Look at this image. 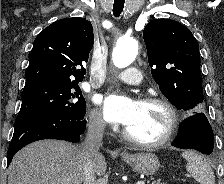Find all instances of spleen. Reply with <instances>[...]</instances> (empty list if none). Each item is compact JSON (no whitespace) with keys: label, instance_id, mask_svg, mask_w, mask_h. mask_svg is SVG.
<instances>
[{"label":"spleen","instance_id":"3e777b00","mask_svg":"<svg viewBox=\"0 0 224 184\" xmlns=\"http://www.w3.org/2000/svg\"><path fill=\"white\" fill-rule=\"evenodd\" d=\"M182 157L187 161V171L199 184H215L212 168L204 157L193 151L183 152Z\"/></svg>","mask_w":224,"mask_h":184}]
</instances>
